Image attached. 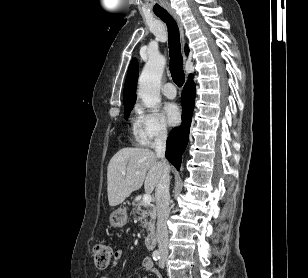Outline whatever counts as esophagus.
Instances as JSON below:
<instances>
[{
	"label": "esophagus",
	"mask_w": 308,
	"mask_h": 278,
	"mask_svg": "<svg viewBox=\"0 0 308 278\" xmlns=\"http://www.w3.org/2000/svg\"><path fill=\"white\" fill-rule=\"evenodd\" d=\"M169 12L178 25V28H179V31H180L181 45H182V50H183V57H184V60H186V55H185V52H184L185 37H184L183 24L180 20V17L178 16V14L174 10H170Z\"/></svg>",
	"instance_id": "1"
}]
</instances>
